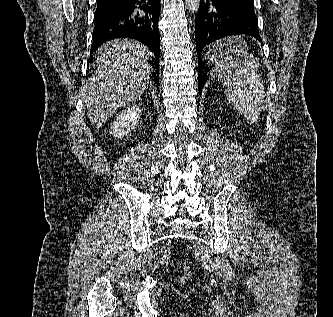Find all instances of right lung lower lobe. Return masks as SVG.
<instances>
[{
    "mask_svg": "<svg viewBox=\"0 0 333 317\" xmlns=\"http://www.w3.org/2000/svg\"><path fill=\"white\" fill-rule=\"evenodd\" d=\"M160 0H110L97 2L94 14L91 54L101 44L115 38L142 42L155 55L152 79L159 85L160 35L158 28Z\"/></svg>",
    "mask_w": 333,
    "mask_h": 317,
    "instance_id": "98d812e1",
    "label": "right lung lower lobe"
}]
</instances>
